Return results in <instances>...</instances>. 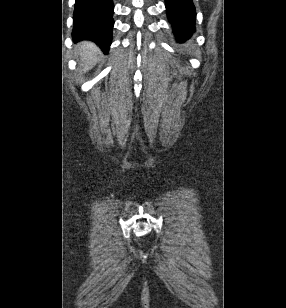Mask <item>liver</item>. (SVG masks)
Segmentation results:
<instances>
[{"label":"liver","mask_w":286,"mask_h":308,"mask_svg":"<svg viewBox=\"0 0 286 308\" xmlns=\"http://www.w3.org/2000/svg\"><path fill=\"white\" fill-rule=\"evenodd\" d=\"M77 53L80 56V66L84 72L92 69L99 61L100 51L98 47L89 41L81 42L78 46Z\"/></svg>","instance_id":"obj_1"}]
</instances>
